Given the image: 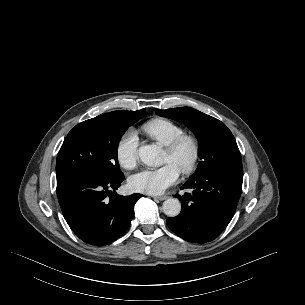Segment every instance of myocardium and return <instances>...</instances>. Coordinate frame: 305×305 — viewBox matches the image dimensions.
<instances>
[{"instance_id":"1","label":"myocardium","mask_w":305,"mask_h":305,"mask_svg":"<svg viewBox=\"0 0 305 305\" xmlns=\"http://www.w3.org/2000/svg\"><path fill=\"white\" fill-rule=\"evenodd\" d=\"M185 147L190 148L191 157L189 161L180 168V170L184 174H189L195 170L201 157V147L197 138L184 134L168 144L166 146V151L171 155H178Z\"/></svg>"}]
</instances>
